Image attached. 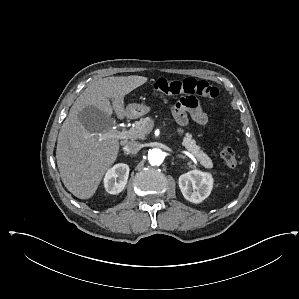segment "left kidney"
I'll return each instance as SVG.
<instances>
[{
    "label": "left kidney",
    "mask_w": 299,
    "mask_h": 299,
    "mask_svg": "<svg viewBox=\"0 0 299 299\" xmlns=\"http://www.w3.org/2000/svg\"><path fill=\"white\" fill-rule=\"evenodd\" d=\"M179 187L186 200L200 203L210 195L213 178L209 173L192 170L179 177Z\"/></svg>",
    "instance_id": "left-kidney-1"
}]
</instances>
